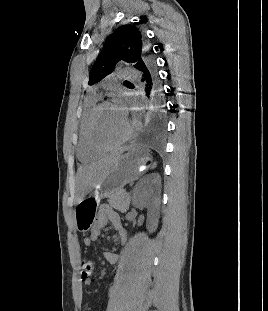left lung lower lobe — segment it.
<instances>
[{
    "label": "left lung lower lobe",
    "instance_id": "left-lung-lower-lobe-1",
    "mask_svg": "<svg viewBox=\"0 0 268 311\" xmlns=\"http://www.w3.org/2000/svg\"><path fill=\"white\" fill-rule=\"evenodd\" d=\"M137 70L142 76V87L149 101V108L144 117L143 132H139L140 141H165L167 132H163L165 126L166 111L163 107L161 86L157 72L155 59L145 55L140 61Z\"/></svg>",
    "mask_w": 268,
    "mask_h": 311
}]
</instances>
